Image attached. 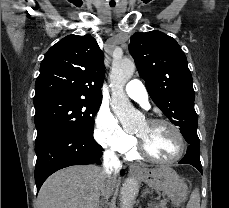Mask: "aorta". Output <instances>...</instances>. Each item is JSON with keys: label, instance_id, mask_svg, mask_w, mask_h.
Instances as JSON below:
<instances>
[{"label": "aorta", "instance_id": "1", "mask_svg": "<svg viewBox=\"0 0 229 208\" xmlns=\"http://www.w3.org/2000/svg\"><path fill=\"white\" fill-rule=\"evenodd\" d=\"M135 71L133 61L123 59L112 64L110 87L112 93L111 107L125 129H134L143 119V115L130 103L124 92V86ZM139 191L136 178H128L121 188V208H132Z\"/></svg>", "mask_w": 229, "mask_h": 208}]
</instances>
